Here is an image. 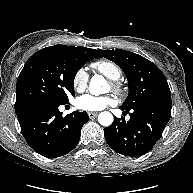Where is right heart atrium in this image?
I'll list each match as a JSON object with an SVG mask.
<instances>
[{"instance_id":"d8ad5b80","label":"right heart atrium","mask_w":193,"mask_h":193,"mask_svg":"<svg viewBox=\"0 0 193 193\" xmlns=\"http://www.w3.org/2000/svg\"><path fill=\"white\" fill-rule=\"evenodd\" d=\"M89 74L84 67L78 68L72 78V85L77 92H82L87 88Z\"/></svg>"}]
</instances>
